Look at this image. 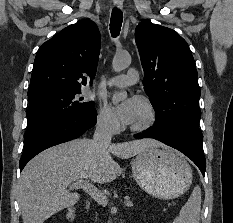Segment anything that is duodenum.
Here are the masks:
<instances>
[{
    "label": "duodenum",
    "mask_w": 233,
    "mask_h": 223,
    "mask_svg": "<svg viewBox=\"0 0 233 223\" xmlns=\"http://www.w3.org/2000/svg\"><path fill=\"white\" fill-rule=\"evenodd\" d=\"M76 217H77L76 209L74 207L68 208V210L66 211V218L70 222H74L76 220Z\"/></svg>",
    "instance_id": "duodenum-1"
}]
</instances>
